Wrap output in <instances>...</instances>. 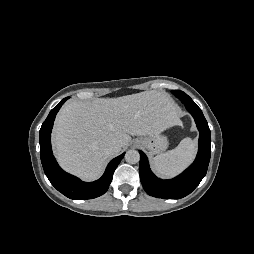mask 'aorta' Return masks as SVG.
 <instances>
[{
  "label": "aorta",
  "instance_id": "obj_1",
  "mask_svg": "<svg viewBox=\"0 0 254 254\" xmlns=\"http://www.w3.org/2000/svg\"><path fill=\"white\" fill-rule=\"evenodd\" d=\"M125 160L129 164H136L140 160V154L136 150H128L125 154Z\"/></svg>",
  "mask_w": 254,
  "mask_h": 254
}]
</instances>
